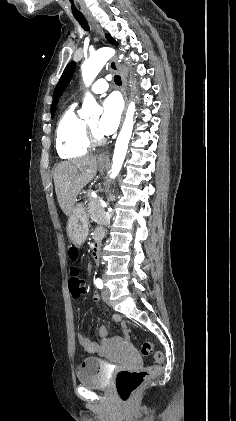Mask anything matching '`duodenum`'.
<instances>
[{
  "label": "duodenum",
  "instance_id": "410a0bca",
  "mask_svg": "<svg viewBox=\"0 0 236 421\" xmlns=\"http://www.w3.org/2000/svg\"><path fill=\"white\" fill-rule=\"evenodd\" d=\"M104 235H105L104 230L101 229V228H98L95 231V236H94V240H95L94 241V254L95 255L98 253V250H99L100 244H101V242L104 238ZM105 335H106V333L101 334V336H105ZM127 336H128V332L125 331V337L124 338L127 339ZM81 342H82L83 346L91 352H97L99 354H103L105 352V348H106L105 343L102 346H98L97 344L90 343L87 339H85L83 337L81 338Z\"/></svg>",
  "mask_w": 236,
  "mask_h": 421
}]
</instances>
